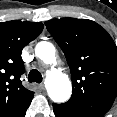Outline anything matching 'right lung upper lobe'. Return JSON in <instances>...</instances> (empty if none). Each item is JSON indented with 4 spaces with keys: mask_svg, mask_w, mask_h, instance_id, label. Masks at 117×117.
<instances>
[{
    "mask_svg": "<svg viewBox=\"0 0 117 117\" xmlns=\"http://www.w3.org/2000/svg\"><path fill=\"white\" fill-rule=\"evenodd\" d=\"M43 27L39 22H0V117H21L33 99L34 92L20 80L24 72L21 52Z\"/></svg>",
    "mask_w": 117,
    "mask_h": 117,
    "instance_id": "obj_1",
    "label": "right lung upper lobe"
}]
</instances>
